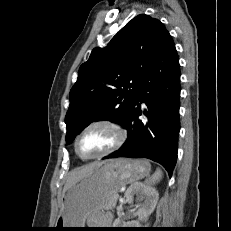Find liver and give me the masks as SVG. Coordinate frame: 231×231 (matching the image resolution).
<instances>
[{"mask_svg":"<svg viewBox=\"0 0 231 231\" xmlns=\"http://www.w3.org/2000/svg\"><path fill=\"white\" fill-rule=\"evenodd\" d=\"M103 163L102 162H93L91 164L85 165L81 168L73 170L70 174L69 177L66 181V184L63 188V195L65 192L68 190V188L73 185L75 182L80 180L81 178L88 176L93 172V170L99 166H101Z\"/></svg>","mask_w":231,"mask_h":231,"instance_id":"6515ba94","label":"liver"}]
</instances>
